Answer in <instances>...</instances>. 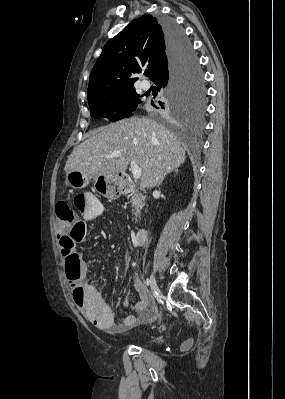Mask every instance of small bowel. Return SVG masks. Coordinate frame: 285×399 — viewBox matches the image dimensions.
I'll list each match as a JSON object with an SVG mask.
<instances>
[{"label":"small bowel","mask_w":285,"mask_h":399,"mask_svg":"<svg viewBox=\"0 0 285 399\" xmlns=\"http://www.w3.org/2000/svg\"><path fill=\"white\" fill-rule=\"evenodd\" d=\"M103 211L102 203L92 194H87V203L81 213L83 231L87 232V222L97 219ZM66 270L78 274L83 288V299L78 301L77 292L70 286V295L80 308L84 317L96 327L113 333H123L135 326L148 323L157 316L156 308L151 304L148 293L138 276L134 278V286L139 293V300L134 306V314L123 316L118 322L112 308L104 301L99 290L87 281L88 266L81 256L71 263H65Z\"/></svg>","instance_id":"c3829d8e"}]
</instances>
